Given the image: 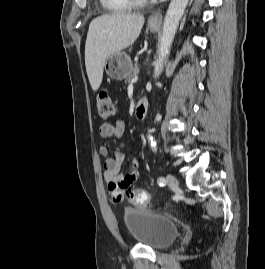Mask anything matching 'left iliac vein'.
I'll use <instances>...</instances> for the list:
<instances>
[{
    "label": "left iliac vein",
    "mask_w": 265,
    "mask_h": 269,
    "mask_svg": "<svg viewBox=\"0 0 265 269\" xmlns=\"http://www.w3.org/2000/svg\"><path fill=\"white\" fill-rule=\"evenodd\" d=\"M167 184L172 189H177L179 187L178 179L172 174L167 175Z\"/></svg>",
    "instance_id": "1"
}]
</instances>
